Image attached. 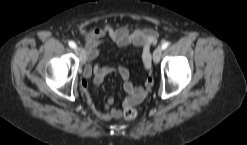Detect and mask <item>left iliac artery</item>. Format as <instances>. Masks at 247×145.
Returning <instances> with one entry per match:
<instances>
[{
  "mask_svg": "<svg viewBox=\"0 0 247 145\" xmlns=\"http://www.w3.org/2000/svg\"><path fill=\"white\" fill-rule=\"evenodd\" d=\"M169 45H170L169 42H164V43L162 44V49H163V50L166 49Z\"/></svg>",
  "mask_w": 247,
  "mask_h": 145,
  "instance_id": "44dca946",
  "label": "left iliac artery"
}]
</instances>
